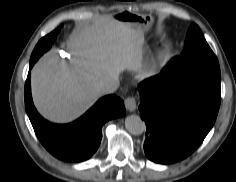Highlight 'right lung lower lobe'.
<instances>
[{
    "label": "right lung lower lobe",
    "instance_id": "98d812e1",
    "mask_svg": "<svg viewBox=\"0 0 236 182\" xmlns=\"http://www.w3.org/2000/svg\"><path fill=\"white\" fill-rule=\"evenodd\" d=\"M33 65L30 62V69ZM24 96L25 109L38 139L53 156L66 162L89 159L100 145L102 125L126 113L123 100L116 95H108L99 99L91 109L72 123H50L34 107L30 72L25 83Z\"/></svg>",
    "mask_w": 236,
    "mask_h": 182
}]
</instances>
